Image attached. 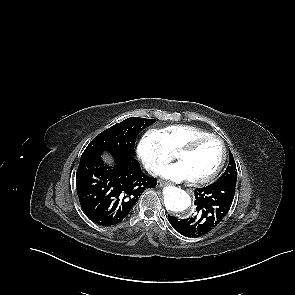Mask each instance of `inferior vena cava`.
<instances>
[{
  "label": "inferior vena cava",
  "instance_id": "inferior-vena-cava-1",
  "mask_svg": "<svg viewBox=\"0 0 295 295\" xmlns=\"http://www.w3.org/2000/svg\"><path fill=\"white\" fill-rule=\"evenodd\" d=\"M150 174H152V175H157L158 174V168H156V167H151V168H149L148 170H147Z\"/></svg>",
  "mask_w": 295,
  "mask_h": 295
}]
</instances>
